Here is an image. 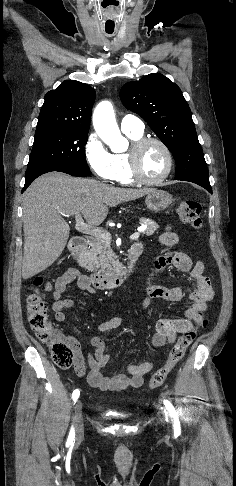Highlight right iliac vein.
I'll use <instances>...</instances> for the list:
<instances>
[{
  "label": "right iliac vein",
  "instance_id": "63e3f726",
  "mask_svg": "<svg viewBox=\"0 0 236 486\" xmlns=\"http://www.w3.org/2000/svg\"><path fill=\"white\" fill-rule=\"evenodd\" d=\"M74 422H75V429H76V437L81 438L84 434V424H83L81 401H77V403L75 405Z\"/></svg>",
  "mask_w": 236,
  "mask_h": 486
}]
</instances>
